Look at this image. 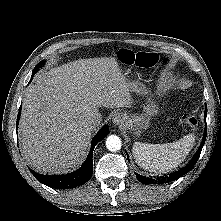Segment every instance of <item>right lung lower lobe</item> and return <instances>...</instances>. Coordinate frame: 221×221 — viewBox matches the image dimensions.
Returning <instances> with one entry per match:
<instances>
[{
	"label": "right lung lower lobe",
	"instance_id": "98d812e1",
	"mask_svg": "<svg viewBox=\"0 0 221 221\" xmlns=\"http://www.w3.org/2000/svg\"><path fill=\"white\" fill-rule=\"evenodd\" d=\"M34 73V72H33ZM33 77V76H32ZM32 80V78H31ZM29 81V83L31 82ZM20 111L21 106L19 109L18 117H17V124L18 120L20 118ZM109 134L108 126H104L94 137L91 144V150L89 152V155L83 165L76 171L72 173H68L66 175H58V176H44L40 175L38 173H35L34 171H31L34 177L42 184L49 186L51 188H57V189H68V188H74L79 185L84 184L88 180H90L92 173H93V150L95 148V145L102 141L107 135Z\"/></svg>",
	"mask_w": 221,
	"mask_h": 221
}]
</instances>
